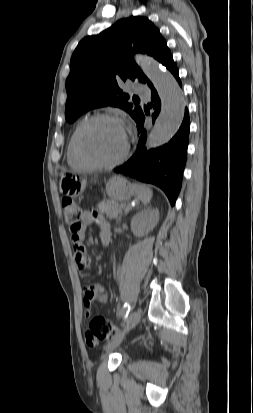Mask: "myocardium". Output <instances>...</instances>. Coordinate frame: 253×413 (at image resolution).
Segmentation results:
<instances>
[{
    "instance_id": "f54148a6",
    "label": "myocardium",
    "mask_w": 253,
    "mask_h": 413,
    "mask_svg": "<svg viewBox=\"0 0 253 413\" xmlns=\"http://www.w3.org/2000/svg\"><path fill=\"white\" fill-rule=\"evenodd\" d=\"M107 120L118 123L124 130L125 133V146L124 150L121 155L113 161L110 162H100L92 159L87 152L85 151L84 144H83V137L87 128L93 124L94 122ZM76 149L80 158L89 166L96 169H110L116 167L117 165L121 164L128 156L129 149H130V142L128 135L125 131V127L122 121L115 115L107 114V113H99L95 114L88 119H86L79 127L77 135H76Z\"/></svg>"
}]
</instances>
